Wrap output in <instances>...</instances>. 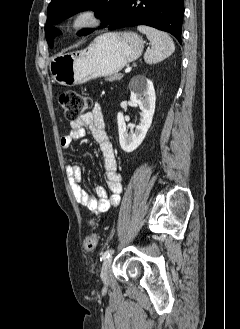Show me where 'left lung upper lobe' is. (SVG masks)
Segmentation results:
<instances>
[{
	"label": "left lung upper lobe",
	"mask_w": 240,
	"mask_h": 329,
	"mask_svg": "<svg viewBox=\"0 0 240 329\" xmlns=\"http://www.w3.org/2000/svg\"><path fill=\"white\" fill-rule=\"evenodd\" d=\"M126 0H52L47 8V26L45 36L49 46L52 48L54 38L61 34V31L51 26L57 24L71 15L84 11L93 10L101 18L103 27L108 25L123 7ZM92 30H82L77 33L79 36L87 35Z\"/></svg>",
	"instance_id": "left-lung-upper-lobe-1"
}]
</instances>
